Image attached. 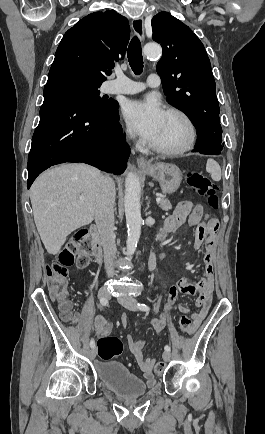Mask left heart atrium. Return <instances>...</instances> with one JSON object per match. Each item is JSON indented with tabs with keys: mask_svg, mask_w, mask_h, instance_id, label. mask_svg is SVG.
<instances>
[{
	"mask_svg": "<svg viewBox=\"0 0 265 434\" xmlns=\"http://www.w3.org/2000/svg\"><path fill=\"white\" fill-rule=\"evenodd\" d=\"M123 112L129 127L150 143L156 139L166 115L155 98L129 101Z\"/></svg>",
	"mask_w": 265,
	"mask_h": 434,
	"instance_id": "39dd6f15",
	"label": "left heart atrium"
}]
</instances>
